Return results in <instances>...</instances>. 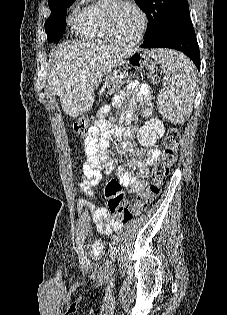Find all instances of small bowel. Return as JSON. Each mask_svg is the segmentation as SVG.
Masks as SVG:
<instances>
[{
  "mask_svg": "<svg viewBox=\"0 0 227 315\" xmlns=\"http://www.w3.org/2000/svg\"><path fill=\"white\" fill-rule=\"evenodd\" d=\"M120 100L147 101L151 98L150 88L138 81H131L120 92ZM129 131L124 128L109 129L104 120H98L90 128L84 140L85 159L82 163V177L79 188L87 195H93V188L99 184L103 175L115 173L117 181L128 189L129 193H138L144 188V180L148 177L149 167L160 156L158 148L150 149L144 155L128 140ZM118 139L124 150L132 154V157L118 164L110 156L112 150L111 141ZM79 205L90 213L93 226L99 232L110 234L123 227L106 207H96L86 200L79 201Z\"/></svg>",
  "mask_w": 227,
  "mask_h": 315,
  "instance_id": "obj_1",
  "label": "small bowel"
}]
</instances>
